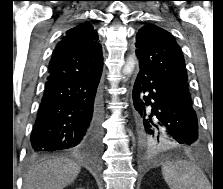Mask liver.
I'll return each instance as SVG.
<instances>
[{
  "instance_id": "liver-1",
  "label": "liver",
  "mask_w": 223,
  "mask_h": 189,
  "mask_svg": "<svg viewBox=\"0 0 223 189\" xmlns=\"http://www.w3.org/2000/svg\"><path fill=\"white\" fill-rule=\"evenodd\" d=\"M81 167L68 158L34 164L24 175L23 189H63L78 176Z\"/></svg>"
}]
</instances>
